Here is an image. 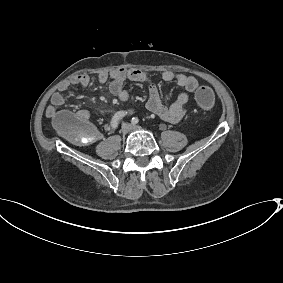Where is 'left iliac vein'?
Here are the masks:
<instances>
[{"mask_svg":"<svg viewBox=\"0 0 283 283\" xmlns=\"http://www.w3.org/2000/svg\"><path fill=\"white\" fill-rule=\"evenodd\" d=\"M131 128L134 129V130H137V129H140V126L133 125Z\"/></svg>","mask_w":283,"mask_h":283,"instance_id":"4c4485c4","label":"left iliac vein"}]
</instances>
